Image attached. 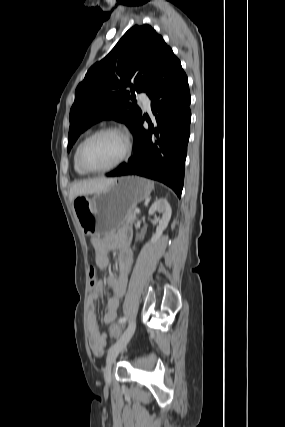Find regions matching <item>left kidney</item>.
<instances>
[{
    "label": "left kidney",
    "mask_w": 285,
    "mask_h": 427,
    "mask_svg": "<svg viewBox=\"0 0 285 427\" xmlns=\"http://www.w3.org/2000/svg\"><path fill=\"white\" fill-rule=\"evenodd\" d=\"M156 212L162 214V218H157L155 220L158 222V227L156 229V234L152 238V243H155L162 236L163 231L167 228L169 220L171 218V207L167 199L161 198L154 202L149 209V215L153 216Z\"/></svg>",
    "instance_id": "5707ae66"
}]
</instances>
